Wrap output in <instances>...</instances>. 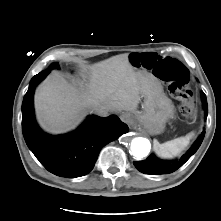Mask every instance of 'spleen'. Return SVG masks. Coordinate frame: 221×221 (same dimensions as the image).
Wrapping results in <instances>:
<instances>
[{
    "label": "spleen",
    "instance_id": "1",
    "mask_svg": "<svg viewBox=\"0 0 221 221\" xmlns=\"http://www.w3.org/2000/svg\"><path fill=\"white\" fill-rule=\"evenodd\" d=\"M193 136L194 132H190L183 137H179L162 144H160L157 140H154V151L156 155L160 158H172L173 156L180 154L188 146L190 139Z\"/></svg>",
    "mask_w": 221,
    "mask_h": 221
}]
</instances>
